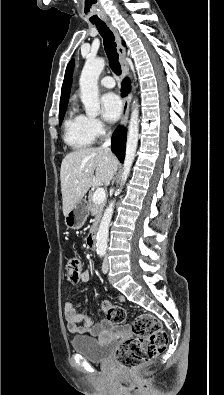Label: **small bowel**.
Instances as JSON below:
<instances>
[{
	"label": "small bowel",
	"instance_id": "1",
	"mask_svg": "<svg viewBox=\"0 0 224 395\" xmlns=\"http://www.w3.org/2000/svg\"><path fill=\"white\" fill-rule=\"evenodd\" d=\"M88 280L89 273L84 271L80 275L78 282L86 283ZM118 298L120 300L125 299L122 295H119ZM64 317L68 330L74 334L99 336L103 332L115 330L112 322L109 320H103L99 323H94L90 317L81 314L71 302H66L64 305Z\"/></svg>",
	"mask_w": 224,
	"mask_h": 395
}]
</instances>
